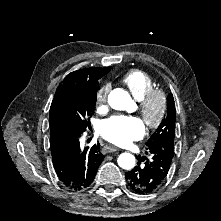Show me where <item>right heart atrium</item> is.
<instances>
[{
  "label": "right heart atrium",
  "mask_w": 221,
  "mask_h": 221,
  "mask_svg": "<svg viewBox=\"0 0 221 221\" xmlns=\"http://www.w3.org/2000/svg\"><path fill=\"white\" fill-rule=\"evenodd\" d=\"M109 91H110L109 84H104L97 90L95 96V104L97 108H101L104 105H106Z\"/></svg>",
  "instance_id": "1"
}]
</instances>
